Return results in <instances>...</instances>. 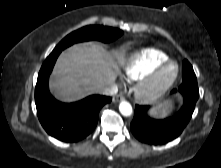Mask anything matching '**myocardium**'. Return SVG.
Masks as SVG:
<instances>
[{
    "instance_id": "f54148a6",
    "label": "myocardium",
    "mask_w": 221,
    "mask_h": 168,
    "mask_svg": "<svg viewBox=\"0 0 221 168\" xmlns=\"http://www.w3.org/2000/svg\"><path fill=\"white\" fill-rule=\"evenodd\" d=\"M172 67V72L165 76V71ZM179 66L173 60H166L145 76L137 86V96L143 102H153L161 98L176 82Z\"/></svg>"
}]
</instances>
